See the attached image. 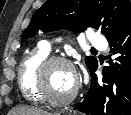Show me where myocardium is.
<instances>
[{"mask_svg":"<svg viewBox=\"0 0 131 115\" xmlns=\"http://www.w3.org/2000/svg\"><path fill=\"white\" fill-rule=\"evenodd\" d=\"M56 64H64L70 68L75 77V85L72 92L64 98H55L47 90V72ZM35 89L42 100L52 106H65L70 104L77 96L79 91L78 75L72 61L64 56H48L37 67L35 74Z\"/></svg>","mask_w":131,"mask_h":115,"instance_id":"1","label":"myocardium"}]
</instances>
